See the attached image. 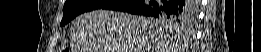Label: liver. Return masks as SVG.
<instances>
[{
  "label": "liver",
  "instance_id": "obj_1",
  "mask_svg": "<svg viewBox=\"0 0 261 52\" xmlns=\"http://www.w3.org/2000/svg\"><path fill=\"white\" fill-rule=\"evenodd\" d=\"M70 38L72 52H178L180 41L171 23L103 9L78 16Z\"/></svg>",
  "mask_w": 261,
  "mask_h": 52
}]
</instances>
